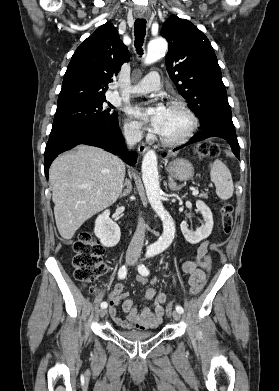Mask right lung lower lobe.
I'll list each match as a JSON object with an SVG mask.
<instances>
[{
    "label": "right lung lower lobe",
    "instance_id": "1",
    "mask_svg": "<svg viewBox=\"0 0 279 391\" xmlns=\"http://www.w3.org/2000/svg\"><path fill=\"white\" fill-rule=\"evenodd\" d=\"M78 144L101 147L113 154L121 155L129 165L136 163L137 153L126 150L118 118H114L100 123L52 129L44 154L47 178L49 167L55 157Z\"/></svg>",
    "mask_w": 279,
    "mask_h": 391
}]
</instances>
